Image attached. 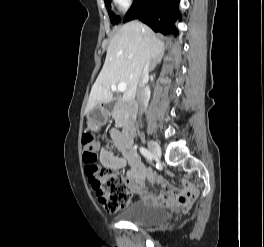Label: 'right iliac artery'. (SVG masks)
<instances>
[{
    "mask_svg": "<svg viewBox=\"0 0 264 247\" xmlns=\"http://www.w3.org/2000/svg\"><path fill=\"white\" fill-rule=\"evenodd\" d=\"M140 152L145 158H147V160L152 162L153 155L151 154V152L148 149H146L144 147H140Z\"/></svg>",
    "mask_w": 264,
    "mask_h": 247,
    "instance_id": "obj_1",
    "label": "right iliac artery"
}]
</instances>
